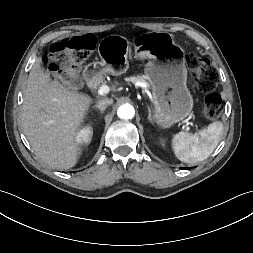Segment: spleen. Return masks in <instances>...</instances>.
I'll return each instance as SVG.
<instances>
[{
    "label": "spleen",
    "instance_id": "spleen-1",
    "mask_svg": "<svg viewBox=\"0 0 253 253\" xmlns=\"http://www.w3.org/2000/svg\"><path fill=\"white\" fill-rule=\"evenodd\" d=\"M223 131V123L213 122L197 134L179 132L172 139L175 156L189 165L207 159L217 147Z\"/></svg>",
    "mask_w": 253,
    "mask_h": 253
}]
</instances>
